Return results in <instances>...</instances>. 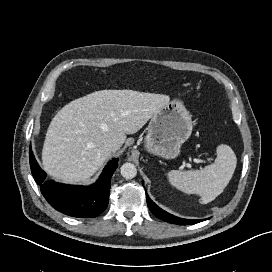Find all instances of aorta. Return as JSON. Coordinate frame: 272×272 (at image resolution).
I'll list each match as a JSON object with an SVG mask.
<instances>
[{
  "label": "aorta",
  "mask_w": 272,
  "mask_h": 272,
  "mask_svg": "<svg viewBox=\"0 0 272 272\" xmlns=\"http://www.w3.org/2000/svg\"><path fill=\"white\" fill-rule=\"evenodd\" d=\"M120 169L121 175L126 179H132L137 174L136 166L132 163H124Z\"/></svg>",
  "instance_id": "1"
}]
</instances>
